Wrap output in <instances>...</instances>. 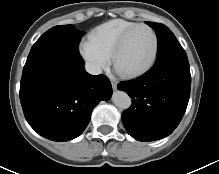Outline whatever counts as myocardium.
Returning <instances> with one entry per match:
<instances>
[{"mask_svg": "<svg viewBox=\"0 0 219 174\" xmlns=\"http://www.w3.org/2000/svg\"><path fill=\"white\" fill-rule=\"evenodd\" d=\"M140 28H145L148 29L152 35H153V39H154V51H153V55L151 60L149 61V63L136 71H132V72H124L121 71L117 68V59L119 57V55L121 54V52L123 51L127 41L129 40L130 36L138 29ZM158 52H159V39H158V35L156 33V31L149 25L147 24H138L136 26H134L133 28L129 29L127 32H125L123 34V36L120 38V40L118 41V43L116 44L113 53H112V61H113V65L115 67V69L117 70V72L126 79H133V78H137L140 77L142 75H144L145 73H147L155 64L157 57H158Z\"/></svg>", "mask_w": 219, "mask_h": 174, "instance_id": "myocardium-1", "label": "myocardium"}]
</instances>
